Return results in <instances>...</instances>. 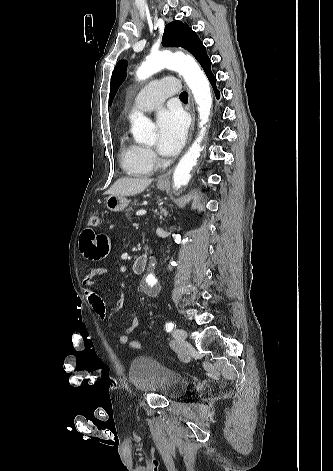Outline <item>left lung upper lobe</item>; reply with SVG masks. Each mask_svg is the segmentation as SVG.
I'll list each match as a JSON object with an SVG mask.
<instances>
[{
    "mask_svg": "<svg viewBox=\"0 0 333 471\" xmlns=\"http://www.w3.org/2000/svg\"><path fill=\"white\" fill-rule=\"evenodd\" d=\"M162 45L164 47H182L188 50L199 63H202L208 57L206 48L199 37L187 24L181 21H174L165 26ZM126 67V61L121 60L113 70L109 95L110 105L117 89L126 78Z\"/></svg>",
    "mask_w": 333,
    "mask_h": 471,
    "instance_id": "5c2ea615",
    "label": "left lung upper lobe"
}]
</instances>
